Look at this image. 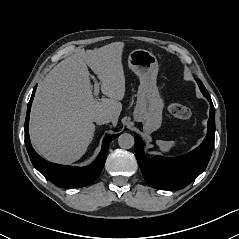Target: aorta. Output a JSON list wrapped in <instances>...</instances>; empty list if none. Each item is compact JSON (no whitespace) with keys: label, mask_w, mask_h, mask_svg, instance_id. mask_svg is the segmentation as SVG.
Returning a JSON list of instances; mask_svg holds the SVG:
<instances>
[{"label":"aorta","mask_w":239,"mask_h":239,"mask_svg":"<svg viewBox=\"0 0 239 239\" xmlns=\"http://www.w3.org/2000/svg\"><path fill=\"white\" fill-rule=\"evenodd\" d=\"M118 145L123 149H130L134 146V137L129 133H123L118 137Z\"/></svg>","instance_id":"obj_1"}]
</instances>
